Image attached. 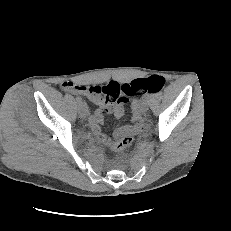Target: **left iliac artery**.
I'll use <instances>...</instances> for the list:
<instances>
[{"label":"left iliac artery","mask_w":231,"mask_h":231,"mask_svg":"<svg viewBox=\"0 0 231 231\" xmlns=\"http://www.w3.org/2000/svg\"><path fill=\"white\" fill-rule=\"evenodd\" d=\"M149 97H150L149 94H145V95L143 96L144 99H149Z\"/></svg>","instance_id":"1"}]
</instances>
